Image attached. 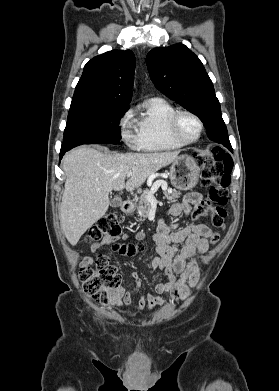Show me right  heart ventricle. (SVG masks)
<instances>
[{"label":"right heart ventricle","instance_id":"right-heart-ventricle-1","mask_svg":"<svg viewBox=\"0 0 279 391\" xmlns=\"http://www.w3.org/2000/svg\"><path fill=\"white\" fill-rule=\"evenodd\" d=\"M177 108L168 100L155 97L147 100L137 119L138 148L161 152L177 150L184 145L175 141L169 131V120Z\"/></svg>","mask_w":279,"mask_h":391}]
</instances>
